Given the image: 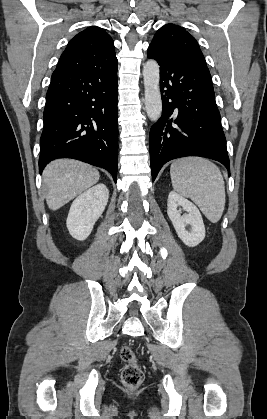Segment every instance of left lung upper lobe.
I'll return each instance as SVG.
<instances>
[{"mask_svg": "<svg viewBox=\"0 0 267 419\" xmlns=\"http://www.w3.org/2000/svg\"><path fill=\"white\" fill-rule=\"evenodd\" d=\"M149 48L162 56L181 59L208 69L195 38L178 25L166 24L161 27Z\"/></svg>", "mask_w": 267, "mask_h": 419, "instance_id": "left-lung-upper-lobe-1", "label": "left lung upper lobe"}]
</instances>
